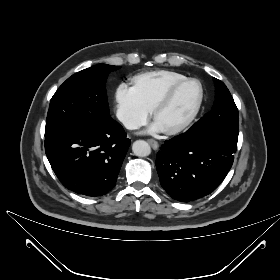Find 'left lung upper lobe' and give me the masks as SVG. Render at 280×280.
<instances>
[{"instance_id": "obj_1", "label": "left lung upper lobe", "mask_w": 280, "mask_h": 280, "mask_svg": "<svg viewBox=\"0 0 280 280\" xmlns=\"http://www.w3.org/2000/svg\"><path fill=\"white\" fill-rule=\"evenodd\" d=\"M213 80L216 95L212 110L188 131L214 133L237 144L239 134L238 109L226 85L216 78H213Z\"/></svg>"}]
</instances>
